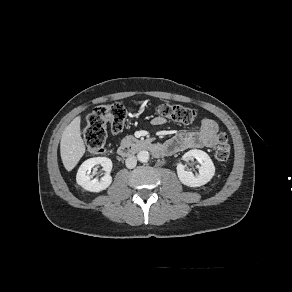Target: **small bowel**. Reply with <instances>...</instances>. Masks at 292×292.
Returning <instances> with one entry per match:
<instances>
[{
  "label": "small bowel",
  "mask_w": 292,
  "mask_h": 292,
  "mask_svg": "<svg viewBox=\"0 0 292 292\" xmlns=\"http://www.w3.org/2000/svg\"><path fill=\"white\" fill-rule=\"evenodd\" d=\"M151 123L160 126L165 123V119L156 116ZM217 123L209 118H203L196 130L183 132L175 135L164 143L156 144L157 155L174 154L187 149H198L203 147H214L216 144Z\"/></svg>",
  "instance_id": "c3829d8e"
}]
</instances>
